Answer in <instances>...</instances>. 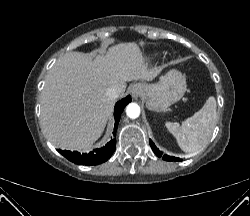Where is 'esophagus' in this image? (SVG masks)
<instances>
[{
  "label": "esophagus",
  "mask_w": 250,
  "mask_h": 216,
  "mask_svg": "<svg viewBox=\"0 0 250 216\" xmlns=\"http://www.w3.org/2000/svg\"><path fill=\"white\" fill-rule=\"evenodd\" d=\"M142 92H143V86L140 83H136L131 87V94L134 99L139 98Z\"/></svg>",
  "instance_id": "1"
}]
</instances>
